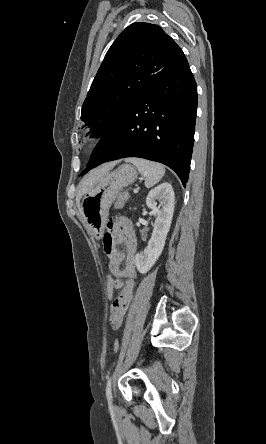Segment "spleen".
Instances as JSON below:
<instances>
[{
	"label": "spleen",
	"instance_id": "3e777b00",
	"mask_svg": "<svg viewBox=\"0 0 266 444\" xmlns=\"http://www.w3.org/2000/svg\"><path fill=\"white\" fill-rule=\"evenodd\" d=\"M126 162H130L137 167L138 171L145 177V186L147 188L157 184L165 174L163 165L157 162L143 158H128Z\"/></svg>",
	"mask_w": 266,
	"mask_h": 444
}]
</instances>
